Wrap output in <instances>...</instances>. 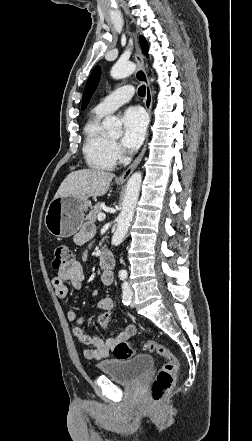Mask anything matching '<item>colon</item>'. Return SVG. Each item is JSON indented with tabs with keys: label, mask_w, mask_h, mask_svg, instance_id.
Here are the masks:
<instances>
[{
	"label": "colon",
	"mask_w": 252,
	"mask_h": 441,
	"mask_svg": "<svg viewBox=\"0 0 252 441\" xmlns=\"http://www.w3.org/2000/svg\"><path fill=\"white\" fill-rule=\"evenodd\" d=\"M73 260L71 250L65 245H59L55 248L54 257L52 260V268L60 269ZM114 313V305L109 303L104 308L99 310L96 317V324L99 327H105L111 320ZM142 349L149 353H155L163 357L166 361L161 366L157 375L155 376L152 388L151 397L154 403H160L170 392L174 384L175 372L178 367V358L165 345L158 342L148 340L142 344ZM134 355L133 346L122 341L114 348V356L116 358L125 359Z\"/></svg>",
	"instance_id": "obj_1"
}]
</instances>
